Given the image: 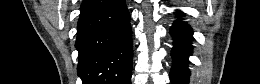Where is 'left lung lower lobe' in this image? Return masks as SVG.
<instances>
[{
  "label": "left lung lower lobe",
  "mask_w": 260,
  "mask_h": 84,
  "mask_svg": "<svg viewBox=\"0 0 260 84\" xmlns=\"http://www.w3.org/2000/svg\"><path fill=\"white\" fill-rule=\"evenodd\" d=\"M170 34L174 38V47L171 52L173 58L171 81L173 84H188L190 71L187 64L192 52V29L187 23L177 20L172 25Z\"/></svg>",
  "instance_id": "1"
}]
</instances>
